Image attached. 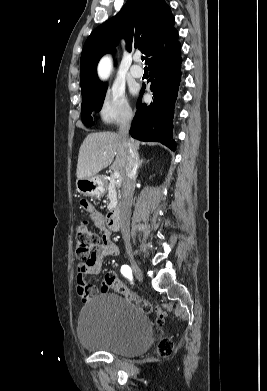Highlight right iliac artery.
I'll use <instances>...</instances> for the list:
<instances>
[{"label":"right iliac artery","mask_w":267,"mask_h":391,"mask_svg":"<svg viewBox=\"0 0 267 391\" xmlns=\"http://www.w3.org/2000/svg\"><path fill=\"white\" fill-rule=\"evenodd\" d=\"M121 273L125 277L129 278L130 280H132V271H131V268L128 265H123L121 267Z\"/></svg>","instance_id":"1"}]
</instances>
